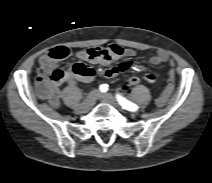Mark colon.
Returning a JSON list of instances; mask_svg holds the SVG:
<instances>
[{
	"instance_id": "colon-1",
	"label": "colon",
	"mask_w": 212,
	"mask_h": 183,
	"mask_svg": "<svg viewBox=\"0 0 212 183\" xmlns=\"http://www.w3.org/2000/svg\"><path fill=\"white\" fill-rule=\"evenodd\" d=\"M47 54L51 59L58 62L65 60L69 56V50L65 47H56L50 50ZM69 70L76 74L84 75L86 73V66L82 63H74L70 65ZM64 74L65 71L59 67L51 69L40 67L38 69V79L40 82L58 83L63 79ZM140 83L141 81L138 77H131L126 81L125 88L130 89Z\"/></svg>"
}]
</instances>
